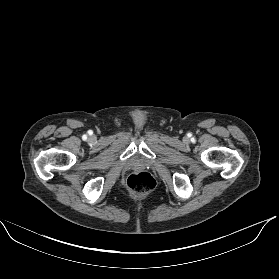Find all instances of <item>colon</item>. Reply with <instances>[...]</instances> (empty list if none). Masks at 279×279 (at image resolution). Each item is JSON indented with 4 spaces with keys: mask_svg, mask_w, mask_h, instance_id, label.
Segmentation results:
<instances>
[{
    "mask_svg": "<svg viewBox=\"0 0 279 279\" xmlns=\"http://www.w3.org/2000/svg\"><path fill=\"white\" fill-rule=\"evenodd\" d=\"M156 185L154 178L145 172L133 174L127 180V188L136 195H147Z\"/></svg>",
    "mask_w": 279,
    "mask_h": 279,
    "instance_id": "1",
    "label": "colon"
}]
</instances>
